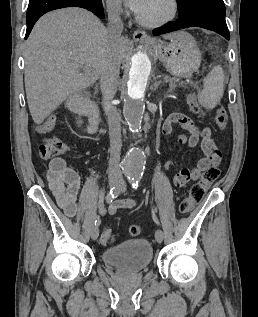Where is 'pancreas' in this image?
Instances as JSON below:
<instances>
[{"label": "pancreas", "instance_id": "cf45deb5", "mask_svg": "<svg viewBox=\"0 0 258 317\" xmlns=\"http://www.w3.org/2000/svg\"><path fill=\"white\" fill-rule=\"evenodd\" d=\"M165 78H166V82H170L169 86H170L171 90H174V88H175V86H177V84H175L173 76H165Z\"/></svg>", "mask_w": 258, "mask_h": 317}]
</instances>
